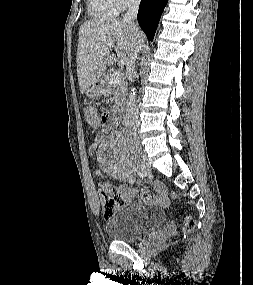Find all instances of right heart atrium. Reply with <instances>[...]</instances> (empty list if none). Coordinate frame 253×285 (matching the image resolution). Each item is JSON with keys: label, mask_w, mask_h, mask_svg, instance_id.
<instances>
[{"label": "right heart atrium", "mask_w": 253, "mask_h": 285, "mask_svg": "<svg viewBox=\"0 0 253 285\" xmlns=\"http://www.w3.org/2000/svg\"><path fill=\"white\" fill-rule=\"evenodd\" d=\"M119 10H125L139 3L140 0H114Z\"/></svg>", "instance_id": "right-heart-atrium-1"}]
</instances>
